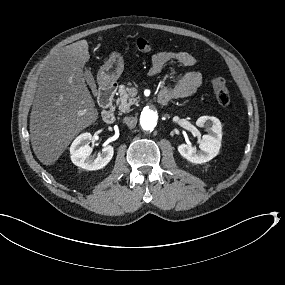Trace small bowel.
Returning a JSON list of instances; mask_svg holds the SVG:
<instances>
[{
	"label": "small bowel",
	"mask_w": 285,
	"mask_h": 285,
	"mask_svg": "<svg viewBox=\"0 0 285 285\" xmlns=\"http://www.w3.org/2000/svg\"><path fill=\"white\" fill-rule=\"evenodd\" d=\"M171 62H176L186 67H193L197 64V59L185 51H160L152 56L149 74L152 76L159 74ZM201 84V74L196 71H188L174 84L163 87L159 93V99L162 103H165L170 99L192 96Z\"/></svg>",
	"instance_id": "1"
}]
</instances>
